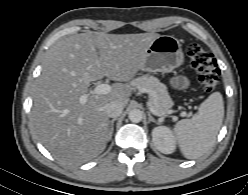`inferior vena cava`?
Segmentation results:
<instances>
[{"instance_id":"1","label":"inferior vena cava","mask_w":248,"mask_h":195,"mask_svg":"<svg viewBox=\"0 0 248 195\" xmlns=\"http://www.w3.org/2000/svg\"><path fill=\"white\" fill-rule=\"evenodd\" d=\"M105 111L108 117L116 118L121 115L123 105L117 101H111L105 106Z\"/></svg>"}]
</instances>
